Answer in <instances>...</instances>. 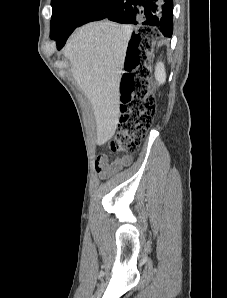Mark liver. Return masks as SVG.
<instances>
[{
  "label": "liver",
  "instance_id": "liver-1",
  "mask_svg": "<svg viewBox=\"0 0 227 298\" xmlns=\"http://www.w3.org/2000/svg\"><path fill=\"white\" fill-rule=\"evenodd\" d=\"M131 34L129 25L92 22L77 29L63 50L75 81L92 105L98 145L109 141L118 125L119 86Z\"/></svg>",
  "mask_w": 227,
  "mask_h": 298
}]
</instances>
